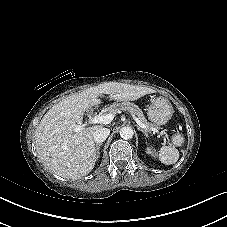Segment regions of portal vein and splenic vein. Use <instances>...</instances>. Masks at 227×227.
Returning <instances> with one entry per match:
<instances>
[{
	"instance_id": "portal-vein-and-splenic-vein-1",
	"label": "portal vein and splenic vein",
	"mask_w": 227,
	"mask_h": 227,
	"mask_svg": "<svg viewBox=\"0 0 227 227\" xmlns=\"http://www.w3.org/2000/svg\"><path fill=\"white\" fill-rule=\"evenodd\" d=\"M114 113H109V114H105V115H96L94 117H92L90 119V123L96 124V123H100V124H109L113 118H114ZM133 119L135 120V122L137 123V125H139L141 128L147 129L149 131H154L156 133H159L160 135H165L164 131L159 132V130L156 127H151L149 125H146L144 123H142L135 115H132ZM86 127V124H79V125H75L73 130L75 132H79L80 130L84 129Z\"/></svg>"
}]
</instances>
